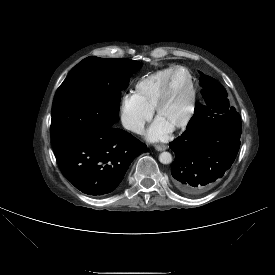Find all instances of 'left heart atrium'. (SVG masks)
<instances>
[{"label":"left heart atrium","instance_id":"left-heart-atrium-1","mask_svg":"<svg viewBox=\"0 0 275 275\" xmlns=\"http://www.w3.org/2000/svg\"><path fill=\"white\" fill-rule=\"evenodd\" d=\"M172 128L167 123L157 118L146 131V139L151 142L164 141L168 138Z\"/></svg>","mask_w":275,"mask_h":275}]
</instances>
